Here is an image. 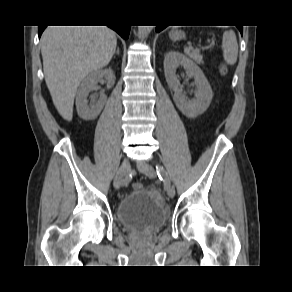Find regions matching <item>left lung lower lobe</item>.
<instances>
[{
	"label": "left lung lower lobe",
	"instance_id": "1",
	"mask_svg": "<svg viewBox=\"0 0 292 292\" xmlns=\"http://www.w3.org/2000/svg\"><path fill=\"white\" fill-rule=\"evenodd\" d=\"M165 27H166L165 25H157V27H156V31H157V32H160V31L163 30ZM237 27H238V29L240 30L241 34H242V32H243V27H242V26H237Z\"/></svg>",
	"mask_w": 292,
	"mask_h": 292
}]
</instances>
